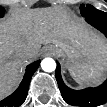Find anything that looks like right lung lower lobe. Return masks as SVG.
I'll return each mask as SVG.
<instances>
[{"label":"right lung lower lobe","mask_w":107,"mask_h":107,"mask_svg":"<svg viewBox=\"0 0 107 107\" xmlns=\"http://www.w3.org/2000/svg\"><path fill=\"white\" fill-rule=\"evenodd\" d=\"M40 61H36L26 68V73L24 75V78L19 86V88L10 96L5 98L0 102V105L2 106H8V107H18L20 106L26 99L29 83L31 81L32 75L36 71V69L39 66Z\"/></svg>","instance_id":"obj_1"}]
</instances>
